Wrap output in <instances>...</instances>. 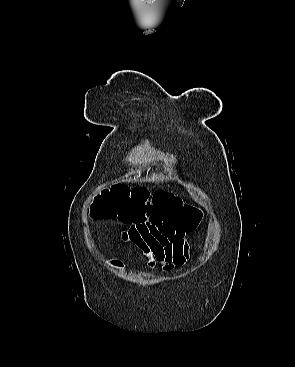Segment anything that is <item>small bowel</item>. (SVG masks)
<instances>
[{
	"label": "small bowel",
	"mask_w": 295,
	"mask_h": 367,
	"mask_svg": "<svg viewBox=\"0 0 295 367\" xmlns=\"http://www.w3.org/2000/svg\"><path fill=\"white\" fill-rule=\"evenodd\" d=\"M126 224L128 227L122 232V240L135 245L150 267L159 265L162 270L171 271L188 262L190 247L185 236L189 231L167 221ZM112 263L116 267H122L118 260Z\"/></svg>",
	"instance_id": "obj_1"
}]
</instances>
